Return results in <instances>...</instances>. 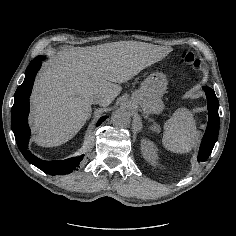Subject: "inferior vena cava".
I'll return each instance as SVG.
<instances>
[{"label": "inferior vena cava", "mask_w": 236, "mask_h": 236, "mask_svg": "<svg viewBox=\"0 0 236 236\" xmlns=\"http://www.w3.org/2000/svg\"><path fill=\"white\" fill-rule=\"evenodd\" d=\"M109 101V98H106V97H101L99 99H95L93 102L96 103V104H106L107 102Z\"/></svg>", "instance_id": "1"}]
</instances>
